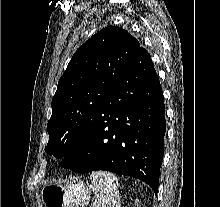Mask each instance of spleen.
<instances>
[{
  "mask_svg": "<svg viewBox=\"0 0 220 207\" xmlns=\"http://www.w3.org/2000/svg\"><path fill=\"white\" fill-rule=\"evenodd\" d=\"M91 188L97 202V207H118L119 192L117 177L105 171L92 172Z\"/></svg>",
  "mask_w": 220,
  "mask_h": 207,
  "instance_id": "1",
  "label": "spleen"
}]
</instances>
